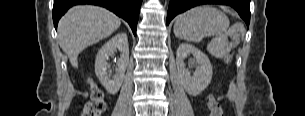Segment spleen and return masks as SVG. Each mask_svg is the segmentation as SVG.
<instances>
[{"label": "spleen", "instance_id": "obj_1", "mask_svg": "<svg viewBox=\"0 0 305 116\" xmlns=\"http://www.w3.org/2000/svg\"><path fill=\"white\" fill-rule=\"evenodd\" d=\"M228 17L212 6H197L176 17L174 34L177 38L199 43L204 37L215 36L213 45H225L224 33L229 27Z\"/></svg>", "mask_w": 305, "mask_h": 116}]
</instances>
